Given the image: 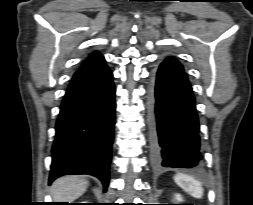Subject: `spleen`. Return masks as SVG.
<instances>
[{"mask_svg":"<svg viewBox=\"0 0 253 205\" xmlns=\"http://www.w3.org/2000/svg\"><path fill=\"white\" fill-rule=\"evenodd\" d=\"M177 185L188 192L191 196L195 198H202L203 188L201 183L193 178L192 176L186 174H177L174 177Z\"/></svg>","mask_w":253,"mask_h":205,"instance_id":"spleen-1","label":"spleen"}]
</instances>
